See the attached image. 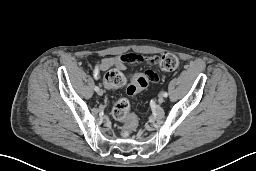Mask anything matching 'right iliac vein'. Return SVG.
I'll return each instance as SVG.
<instances>
[{
    "mask_svg": "<svg viewBox=\"0 0 256 171\" xmlns=\"http://www.w3.org/2000/svg\"><path fill=\"white\" fill-rule=\"evenodd\" d=\"M98 95L102 96V95H103V91H102V90H99V91H98Z\"/></svg>",
    "mask_w": 256,
    "mask_h": 171,
    "instance_id": "63e3f726",
    "label": "right iliac vein"
}]
</instances>
